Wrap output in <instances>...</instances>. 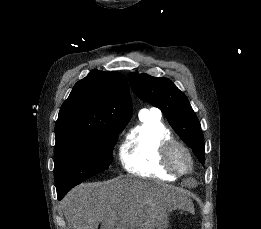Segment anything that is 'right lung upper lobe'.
Here are the masks:
<instances>
[{
	"label": "right lung upper lobe",
	"mask_w": 261,
	"mask_h": 229,
	"mask_svg": "<svg viewBox=\"0 0 261 229\" xmlns=\"http://www.w3.org/2000/svg\"><path fill=\"white\" fill-rule=\"evenodd\" d=\"M131 115L126 78L119 72L92 70L75 84L61 106L55 145L90 134L98 127L127 124Z\"/></svg>",
	"instance_id": "1"
}]
</instances>
